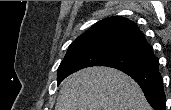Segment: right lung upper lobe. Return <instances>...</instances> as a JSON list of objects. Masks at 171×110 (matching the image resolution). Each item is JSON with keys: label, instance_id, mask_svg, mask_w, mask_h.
Listing matches in <instances>:
<instances>
[{"label": "right lung upper lobe", "instance_id": "cb5924a9", "mask_svg": "<svg viewBox=\"0 0 171 110\" xmlns=\"http://www.w3.org/2000/svg\"><path fill=\"white\" fill-rule=\"evenodd\" d=\"M91 42L124 46L147 56L155 57L152 47L148 44L137 25L133 21L120 16L106 18L97 22L75 39L69 47Z\"/></svg>", "mask_w": 171, "mask_h": 110}]
</instances>
